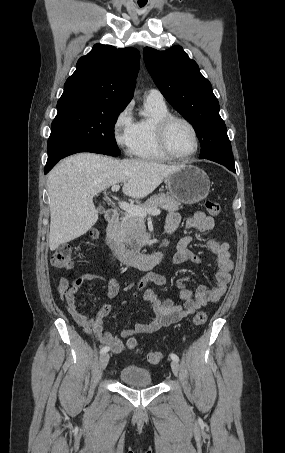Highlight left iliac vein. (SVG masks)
<instances>
[{"mask_svg": "<svg viewBox=\"0 0 285 453\" xmlns=\"http://www.w3.org/2000/svg\"><path fill=\"white\" fill-rule=\"evenodd\" d=\"M171 369H172V372L175 376H178V373H179V364L177 361L173 360L171 362Z\"/></svg>", "mask_w": 285, "mask_h": 453, "instance_id": "left-iliac-vein-1", "label": "left iliac vein"}]
</instances>
